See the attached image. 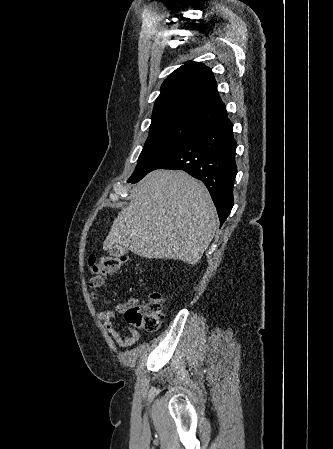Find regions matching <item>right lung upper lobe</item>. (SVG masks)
Returning <instances> with one entry per match:
<instances>
[{"label": "right lung upper lobe", "mask_w": 333, "mask_h": 449, "mask_svg": "<svg viewBox=\"0 0 333 449\" xmlns=\"http://www.w3.org/2000/svg\"><path fill=\"white\" fill-rule=\"evenodd\" d=\"M226 117V107L211 69L201 62H188L163 82L149 129L172 124L204 129Z\"/></svg>", "instance_id": "1"}]
</instances>
